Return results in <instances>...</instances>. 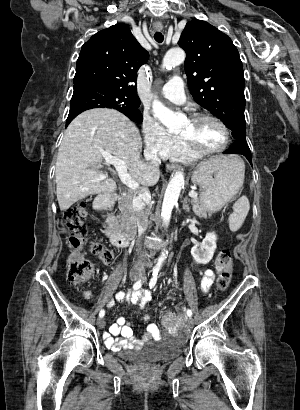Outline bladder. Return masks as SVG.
<instances>
[{
  "mask_svg": "<svg viewBox=\"0 0 300 410\" xmlns=\"http://www.w3.org/2000/svg\"><path fill=\"white\" fill-rule=\"evenodd\" d=\"M182 346L171 341L153 344L136 351H125L123 355L139 365H151L180 355Z\"/></svg>",
  "mask_w": 300,
  "mask_h": 410,
  "instance_id": "1",
  "label": "bladder"
}]
</instances>
